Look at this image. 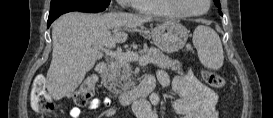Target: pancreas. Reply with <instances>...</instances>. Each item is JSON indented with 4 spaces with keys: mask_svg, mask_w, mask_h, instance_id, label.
<instances>
[{
    "mask_svg": "<svg viewBox=\"0 0 273 118\" xmlns=\"http://www.w3.org/2000/svg\"><path fill=\"white\" fill-rule=\"evenodd\" d=\"M144 54L149 56L152 64L160 68L181 72V65L178 61L172 60L154 47L144 46ZM102 83L113 94H120L132 88L134 83L131 81L129 61L113 57L107 73L102 76Z\"/></svg>",
    "mask_w": 273,
    "mask_h": 118,
    "instance_id": "pancreas-1",
    "label": "pancreas"
}]
</instances>
